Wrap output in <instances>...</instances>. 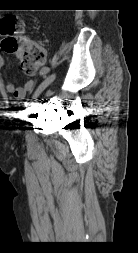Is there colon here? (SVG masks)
<instances>
[{"mask_svg":"<svg viewBox=\"0 0 138 253\" xmlns=\"http://www.w3.org/2000/svg\"><path fill=\"white\" fill-rule=\"evenodd\" d=\"M0 31L3 35L2 49L18 56L22 69L33 74L46 59L43 46L31 41L24 33L23 22L16 16H6L1 20Z\"/></svg>","mask_w":138,"mask_h":253,"instance_id":"1","label":"colon"}]
</instances>
